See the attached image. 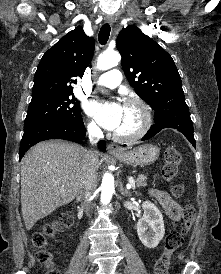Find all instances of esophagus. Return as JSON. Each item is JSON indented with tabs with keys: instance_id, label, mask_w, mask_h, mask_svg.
Here are the masks:
<instances>
[{
	"instance_id": "34e87169",
	"label": "esophagus",
	"mask_w": 221,
	"mask_h": 274,
	"mask_svg": "<svg viewBox=\"0 0 221 274\" xmlns=\"http://www.w3.org/2000/svg\"><path fill=\"white\" fill-rule=\"evenodd\" d=\"M105 22L108 23V24H112L114 22V17L113 16H107L105 18ZM107 151L110 154H118V153L122 152L120 147L116 144H108Z\"/></svg>"
}]
</instances>
